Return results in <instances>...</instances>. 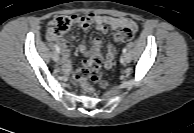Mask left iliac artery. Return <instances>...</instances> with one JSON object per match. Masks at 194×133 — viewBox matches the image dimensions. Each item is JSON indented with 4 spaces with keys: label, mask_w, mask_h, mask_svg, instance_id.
<instances>
[{
    "label": "left iliac artery",
    "mask_w": 194,
    "mask_h": 133,
    "mask_svg": "<svg viewBox=\"0 0 194 133\" xmlns=\"http://www.w3.org/2000/svg\"><path fill=\"white\" fill-rule=\"evenodd\" d=\"M126 52H127V49L124 48V49H123V54H126Z\"/></svg>",
    "instance_id": "obj_1"
}]
</instances>
